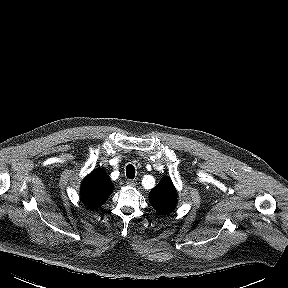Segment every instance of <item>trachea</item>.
Returning a JSON list of instances; mask_svg holds the SVG:
<instances>
[{"mask_svg": "<svg viewBox=\"0 0 288 288\" xmlns=\"http://www.w3.org/2000/svg\"><path fill=\"white\" fill-rule=\"evenodd\" d=\"M126 176L129 179H134L135 177V168L133 165L129 164L126 167Z\"/></svg>", "mask_w": 288, "mask_h": 288, "instance_id": "obj_1", "label": "trachea"}]
</instances>
